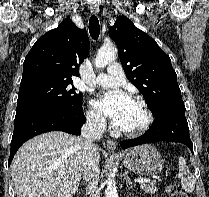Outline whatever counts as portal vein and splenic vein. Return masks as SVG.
Masks as SVG:
<instances>
[{
    "instance_id": "obj_1",
    "label": "portal vein and splenic vein",
    "mask_w": 209,
    "mask_h": 197,
    "mask_svg": "<svg viewBox=\"0 0 209 197\" xmlns=\"http://www.w3.org/2000/svg\"><path fill=\"white\" fill-rule=\"evenodd\" d=\"M134 181L138 183H150V180L146 178H137Z\"/></svg>"
}]
</instances>
